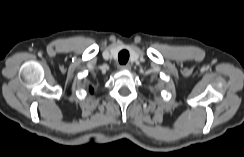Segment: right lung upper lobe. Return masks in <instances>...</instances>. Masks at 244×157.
<instances>
[{
    "mask_svg": "<svg viewBox=\"0 0 244 157\" xmlns=\"http://www.w3.org/2000/svg\"><path fill=\"white\" fill-rule=\"evenodd\" d=\"M91 93L93 92V88H90Z\"/></svg>",
    "mask_w": 244,
    "mask_h": 157,
    "instance_id": "1",
    "label": "right lung upper lobe"
}]
</instances>
